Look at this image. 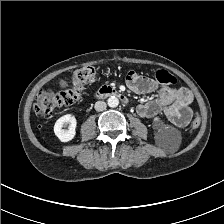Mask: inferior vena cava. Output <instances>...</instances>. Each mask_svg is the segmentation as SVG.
I'll use <instances>...</instances> for the list:
<instances>
[{"mask_svg":"<svg viewBox=\"0 0 224 224\" xmlns=\"http://www.w3.org/2000/svg\"><path fill=\"white\" fill-rule=\"evenodd\" d=\"M107 107V104L104 101H97L95 103V110L98 112L104 111Z\"/></svg>","mask_w":224,"mask_h":224,"instance_id":"602c4592","label":"inferior vena cava"}]
</instances>
